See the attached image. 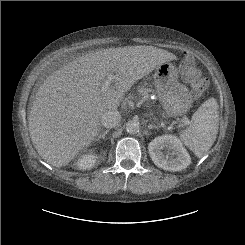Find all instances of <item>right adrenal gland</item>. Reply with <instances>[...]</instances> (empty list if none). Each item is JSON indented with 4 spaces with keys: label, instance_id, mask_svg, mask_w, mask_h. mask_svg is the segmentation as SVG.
Wrapping results in <instances>:
<instances>
[{
    "label": "right adrenal gland",
    "instance_id": "obj_1",
    "mask_svg": "<svg viewBox=\"0 0 245 245\" xmlns=\"http://www.w3.org/2000/svg\"><path fill=\"white\" fill-rule=\"evenodd\" d=\"M109 133V130L102 131L98 137L95 139V142L100 141V139L105 140V136Z\"/></svg>",
    "mask_w": 245,
    "mask_h": 245
}]
</instances>
